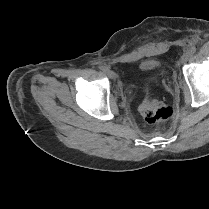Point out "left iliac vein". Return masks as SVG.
Returning a JSON list of instances; mask_svg holds the SVG:
<instances>
[{
  "label": "left iliac vein",
  "mask_w": 209,
  "mask_h": 209,
  "mask_svg": "<svg viewBox=\"0 0 209 209\" xmlns=\"http://www.w3.org/2000/svg\"><path fill=\"white\" fill-rule=\"evenodd\" d=\"M189 57H190V53H189V52H185V53L182 55V57H181V62H182V63H186V62L188 61Z\"/></svg>",
  "instance_id": "left-iliac-vein-1"
}]
</instances>
